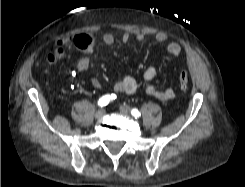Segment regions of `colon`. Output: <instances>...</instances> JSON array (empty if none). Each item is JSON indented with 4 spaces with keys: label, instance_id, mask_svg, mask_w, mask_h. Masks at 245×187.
I'll return each instance as SVG.
<instances>
[{
    "label": "colon",
    "instance_id": "5ec220e1",
    "mask_svg": "<svg viewBox=\"0 0 245 187\" xmlns=\"http://www.w3.org/2000/svg\"><path fill=\"white\" fill-rule=\"evenodd\" d=\"M63 52H64V49L60 53H63ZM178 80H179L180 89L181 90H186L187 87H188V83H189V73H188V71H186V70L180 71Z\"/></svg>",
    "mask_w": 245,
    "mask_h": 187
}]
</instances>
